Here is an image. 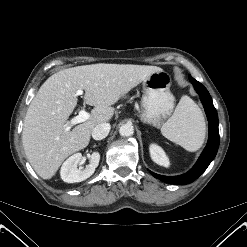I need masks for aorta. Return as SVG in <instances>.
<instances>
[{
  "label": "aorta",
  "mask_w": 247,
  "mask_h": 247,
  "mask_svg": "<svg viewBox=\"0 0 247 247\" xmlns=\"http://www.w3.org/2000/svg\"><path fill=\"white\" fill-rule=\"evenodd\" d=\"M119 133L123 137L132 136L134 133V128L131 124H123L119 129Z\"/></svg>",
  "instance_id": "1"
}]
</instances>
